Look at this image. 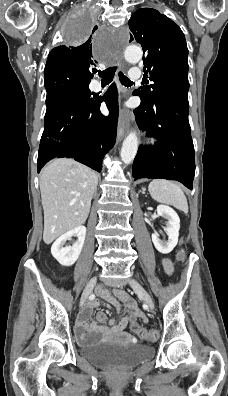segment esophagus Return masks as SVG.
<instances>
[{"label": "esophagus", "instance_id": "obj_1", "mask_svg": "<svg viewBox=\"0 0 228 396\" xmlns=\"http://www.w3.org/2000/svg\"><path fill=\"white\" fill-rule=\"evenodd\" d=\"M127 131V125H126V119L125 116H122L118 122V128H117V140L120 142L123 137L125 136Z\"/></svg>", "mask_w": 228, "mask_h": 396}]
</instances>
